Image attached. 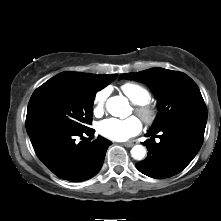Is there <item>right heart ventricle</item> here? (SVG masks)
<instances>
[{
    "mask_svg": "<svg viewBox=\"0 0 221 221\" xmlns=\"http://www.w3.org/2000/svg\"><path fill=\"white\" fill-rule=\"evenodd\" d=\"M120 89L134 104L148 103L151 98L149 91L144 86L137 83H124L121 85Z\"/></svg>",
    "mask_w": 221,
    "mask_h": 221,
    "instance_id": "1",
    "label": "right heart ventricle"
}]
</instances>
